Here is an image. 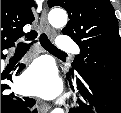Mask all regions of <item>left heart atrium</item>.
I'll list each match as a JSON object with an SVG mask.
<instances>
[{
    "label": "left heart atrium",
    "mask_w": 121,
    "mask_h": 113,
    "mask_svg": "<svg viewBox=\"0 0 121 113\" xmlns=\"http://www.w3.org/2000/svg\"><path fill=\"white\" fill-rule=\"evenodd\" d=\"M22 87L29 93L53 98L60 93L61 82L53 65L46 61H38L27 70Z\"/></svg>",
    "instance_id": "1"
}]
</instances>
